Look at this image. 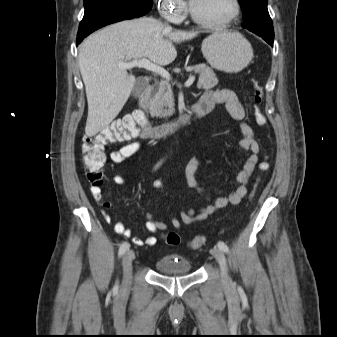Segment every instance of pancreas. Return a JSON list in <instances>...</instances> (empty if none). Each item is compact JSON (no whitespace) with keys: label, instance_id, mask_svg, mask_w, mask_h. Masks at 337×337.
Masks as SVG:
<instances>
[{"label":"pancreas","instance_id":"cf45deb5","mask_svg":"<svg viewBox=\"0 0 337 337\" xmlns=\"http://www.w3.org/2000/svg\"><path fill=\"white\" fill-rule=\"evenodd\" d=\"M195 72L199 73L198 89L208 90L218 84V79L212 68L207 65H197ZM151 113L159 118H167L174 112V98L171 84L168 80L160 81L153 89V98L151 103Z\"/></svg>","mask_w":337,"mask_h":337}]
</instances>
